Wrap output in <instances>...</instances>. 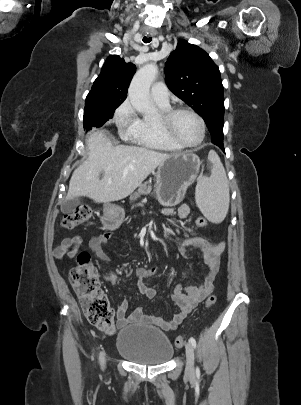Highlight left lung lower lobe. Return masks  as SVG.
<instances>
[{"label":"left lung lower lobe","mask_w":301,"mask_h":405,"mask_svg":"<svg viewBox=\"0 0 301 405\" xmlns=\"http://www.w3.org/2000/svg\"><path fill=\"white\" fill-rule=\"evenodd\" d=\"M211 141L213 142V144L219 146L223 151H224V147H223V141L219 140L217 138H212Z\"/></svg>","instance_id":"0a47b994"}]
</instances>
